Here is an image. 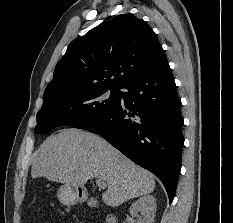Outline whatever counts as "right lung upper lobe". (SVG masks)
<instances>
[{
	"instance_id": "obj_1",
	"label": "right lung upper lobe",
	"mask_w": 233,
	"mask_h": 223,
	"mask_svg": "<svg viewBox=\"0 0 233 223\" xmlns=\"http://www.w3.org/2000/svg\"><path fill=\"white\" fill-rule=\"evenodd\" d=\"M166 63L147 23L130 14L118 15L69 44L44 92L43 104L98 87L119 89Z\"/></svg>"
}]
</instances>
